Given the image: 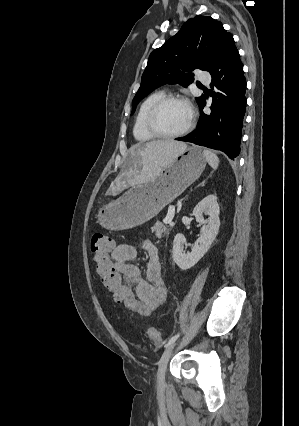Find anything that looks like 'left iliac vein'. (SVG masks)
Segmentation results:
<instances>
[{"instance_id": "left-iliac-vein-1", "label": "left iliac vein", "mask_w": 299, "mask_h": 426, "mask_svg": "<svg viewBox=\"0 0 299 426\" xmlns=\"http://www.w3.org/2000/svg\"><path fill=\"white\" fill-rule=\"evenodd\" d=\"M175 346H176V343L174 342L169 347H167L159 361V368L157 372V385L159 388H162L165 384V373H166L167 363L171 357V354Z\"/></svg>"}]
</instances>
